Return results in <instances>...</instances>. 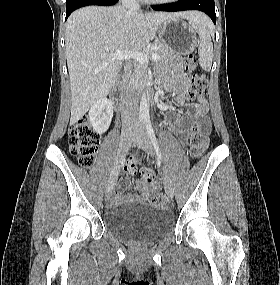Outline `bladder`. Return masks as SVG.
<instances>
[{"label": "bladder", "mask_w": 280, "mask_h": 285, "mask_svg": "<svg viewBox=\"0 0 280 285\" xmlns=\"http://www.w3.org/2000/svg\"><path fill=\"white\" fill-rule=\"evenodd\" d=\"M104 224L119 237L149 243L170 230L173 217L169 210L151 204H120L104 212Z\"/></svg>", "instance_id": "bladder-1"}]
</instances>
